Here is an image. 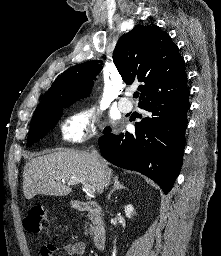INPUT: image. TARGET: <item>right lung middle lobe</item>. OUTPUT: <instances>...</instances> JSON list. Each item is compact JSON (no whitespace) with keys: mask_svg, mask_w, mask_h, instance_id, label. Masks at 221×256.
Here are the masks:
<instances>
[{"mask_svg":"<svg viewBox=\"0 0 221 256\" xmlns=\"http://www.w3.org/2000/svg\"><path fill=\"white\" fill-rule=\"evenodd\" d=\"M74 102L68 99L58 98L47 104L38 106L31 120L27 146L43 138L50 128L60 119L63 107H68ZM108 129L109 127L104 132Z\"/></svg>","mask_w":221,"mask_h":256,"instance_id":"1","label":"right lung middle lobe"}]
</instances>
